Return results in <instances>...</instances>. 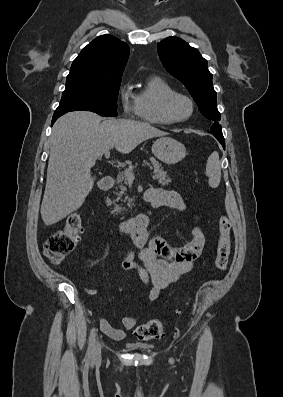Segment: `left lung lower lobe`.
Returning a JSON list of instances; mask_svg holds the SVG:
<instances>
[{
  "label": "left lung lower lobe",
  "mask_w": 283,
  "mask_h": 397,
  "mask_svg": "<svg viewBox=\"0 0 283 397\" xmlns=\"http://www.w3.org/2000/svg\"><path fill=\"white\" fill-rule=\"evenodd\" d=\"M212 134L217 138V140L222 144L223 148L225 149V142H224L223 135H218V134H214V133H212Z\"/></svg>",
  "instance_id": "0a47b994"
}]
</instances>
